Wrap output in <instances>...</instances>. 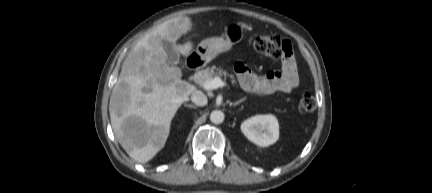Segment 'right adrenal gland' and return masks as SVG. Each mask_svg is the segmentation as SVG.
Listing matches in <instances>:
<instances>
[{"label": "right adrenal gland", "instance_id": "1", "mask_svg": "<svg viewBox=\"0 0 432 193\" xmlns=\"http://www.w3.org/2000/svg\"><path fill=\"white\" fill-rule=\"evenodd\" d=\"M185 106L189 107V108H193V109L197 108L195 105H192V104H185Z\"/></svg>", "mask_w": 432, "mask_h": 193}]
</instances>
